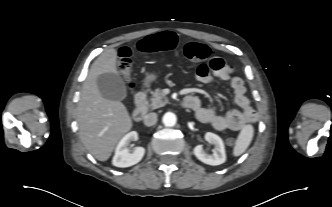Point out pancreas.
<instances>
[{"label":"pancreas","mask_w":332,"mask_h":207,"mask_svg":"<svg viewBox=\"0 0 332 207\" xmlns=\"http://www.w3.org/2000/svg\"><path fill=\"white\" fill-rule=\"evenodd\" d=\"M168 103L167 97L163 90L158 88L152 93V97L149 100L144 101V105L150 109H156L164 106Z\"/></svg>","instance_id":"obj_1"}]
</instances>
